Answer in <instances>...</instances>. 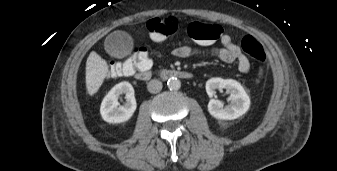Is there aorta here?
<instances>
[{
	"label": "aorta",
	"instance_id": "obj_1",
	"mask_svg": "<svg viewBox=\"0 0 337 171\" xmlns=\"http://www.w3.org/2000/svg\"><path fill=\"white\" fill-rule=\"evenodd\" d=\"M167 86L170 90H179L181 87V82L176 77H172L168 79Z\"/></svg>",
	"mask_w": 337,
	"mask_h": 171
}]
</instances>
